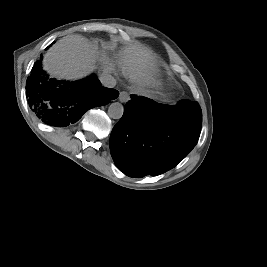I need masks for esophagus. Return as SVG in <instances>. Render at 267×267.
Masks as SVG:
<instances>
[{
	"instance_id": "obj_1",
	"label": "esophagus",
	"mask_w": 267,
	"mask_h": 267,
	"mask_svg": "<svg viewBox=\"0 0 267 267\" xmlns=\"http://www.w3.org/2000/svg\"><path fill=\"white\" fill-rule=\"evenodd\" d=\"M130 96L126 91H121L119 94V101L122 103H126L127 101H129Z\"/></svg>"
}]
</instances>
